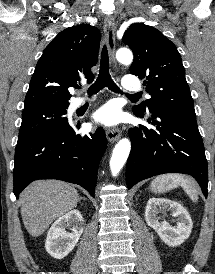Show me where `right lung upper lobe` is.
<instances>
[{"mask_svg": "<svg viewBox=\"0 0 215 274\" xmlns=\"http://www.w3.org/2000/svg\"><path fill=\"white\" fill-rule=\"evenodd\" d=\"M100 39V31L89 24L60 32L36 65L24 109L49 104L68 106V88L81 78H94L90 69L97 63Z\"/></svg>", "mask_w": 215, "mask_h": 274, "instance_id": "right-lung-upper-lobe-1", "label": "right lung upper lobe"}]
</instances>
